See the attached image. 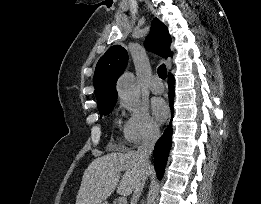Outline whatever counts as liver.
Returning a JSON list of instances; mask_svg holds the SVG:
<instances>
[{"label":"liver","instance_id":"1","mask_svg":"<svg viewBox=\"0 0 261 204\" xmlns=\"http://www.w3.org/2000/svg\"><path fill=\"white\" fill-rule=\"evenodd\" d=\"M121 171L125 173L120 180ZM151 173L150 166L146 170L141 168L136 151L98 157L83 174L76 204H101L116 187L118 194L130 195L143 177L146 180Z\"/></svg>","mask_w":261,"mask_h":204}]
</instances>
